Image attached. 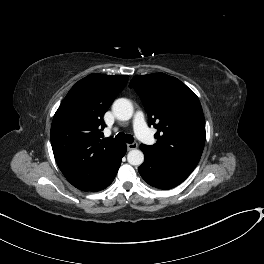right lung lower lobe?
<instances>
[{"label":"right lung lower lobe","mask_w":264,"mask_h":264,"mask_svg":"<svg viewBox=\"0 0 264 264\" xmlns=\"http://www.w3.org/2000/svg\"><path fill=\"white\" fill-rule=\"evenodd\" d=\"M125 153H126V144L123 143L121 159L125 155ZM120 164H121V160L119 161V163H118L117 167L115 168V170L113 171V173L103 183H101L100 185H98V186H96V187H94V188H92V189H90L88 191L96 192V191H100V190H103L106 187H108L112 183V181L114 180V178H115V176L117 174V171L119 169Z\"/></svg>","instance_id":"98d812e1"}]
</instances>
